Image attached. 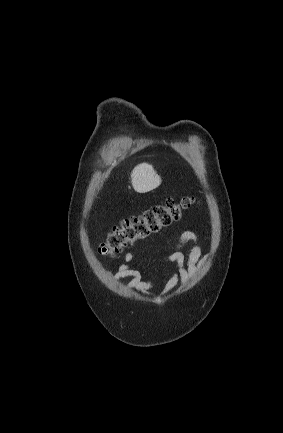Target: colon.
I'll use <instances>...</instances> for the list:
<instances>
[{
  "label": "colon",
  "mask_w": 283,
  "mask_h": 433,
  "mask_svg": "<svg viewBox=\"0 0 283 433\" xmlns=\"http://www.w3.org/2000/svg\"><path fill=\"white\" fill-rule=\"evenodd\" d=\"M196 203L194 197L168 198L140 215L131 216L114 226L98 248L103 256L115 258L125 248L152 235L159 234L180 220L183 212Z\"/></svg>",
  "instance_id": "5ec220e1"
}]
</instances>
